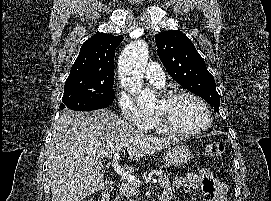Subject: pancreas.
<instances>
[{
	"label": "pancreas",
	"mask_w": 271,
	"mask_h": 201,
	"mask_svg": "<svg viewBox=\"0 0 271 201\" xmlns=\"http://www.w3.org/2000/svg\"><path fill=\"white\" fill-rule=\"evenodd\" d=\"M156 175L158 177L159 185L163 189H168L170 187L169 178L166 175H163L161 172H156ZM136 194H138L137 186L132 185V184H125L123 188L120 189V195L117 201H119V198L122 196L130 198Z\"/></svg>",
	"instance_id": "cf45deb5"
}]
</instances>
